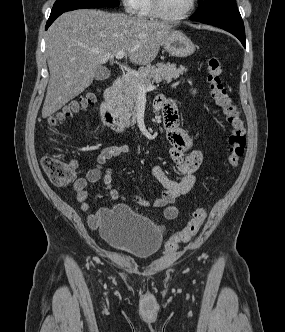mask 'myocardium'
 Listing matches in <instances>:
<instances>
[{"instance_id": "1", "label": "myocardium", "mask_w": 285, "mask_h": 332, "mask_svg": "<svg viewBox=\"0 0 285 332\" xmlns=\"http://www.w3.org/2000/svg\"><path fill=\"white\" fill-rule=\"evenodd\" d=\"M196 5L197 0H191L188 9L183 14L178 16H171L165 12L162 0H152L153 12L155 16L168 22H178L188 18L194 11Z\"/></svg>"}]
</instances>
